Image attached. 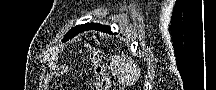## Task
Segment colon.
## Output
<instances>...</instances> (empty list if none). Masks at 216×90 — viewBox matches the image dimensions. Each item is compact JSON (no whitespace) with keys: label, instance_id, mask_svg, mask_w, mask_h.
<instances>
[{"label":"colon","instance_id":"5ec220e1","mask_svg":"<svg viewBox=\"0 0 216 90\" xmlns=\"http://www.w3.org/2000/svg\"><path fill=\"white\" fill-rule=\"evenodd\" d=\"M92 63L94 67V82L91 90H109L110 79L102 58L97 51L91 53Z\"/></svg>","mask_w":216,"mask_h":90}]
</instances>
